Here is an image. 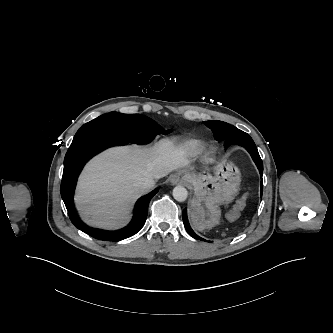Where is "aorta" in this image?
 Here are the masks:
<instances>
[{
  "instance_id": "aorta-1",
  "label": "aorta",
  "mask_w": 333,
  "mask_h": 333,
  "mask_svg": "<svg viewBox=\"0 0 333 333\" xmlns=\"http://www.w3.org/2000/svg\"><path fill=\"white\" fill-rule=\"evenodd\" d=\"M172 194H173L174 199L179 202L185 201L188 197V191L183 186H176L173 189Z\"/></svg>"
}]
</instances>
